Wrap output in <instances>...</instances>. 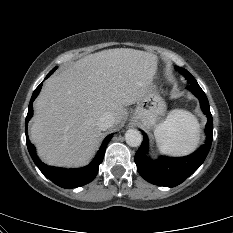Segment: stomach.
Masks as SVG:
<instances>
[{"label": "stomach", "instance_id": "stomach-1", "mask_svg": "<svg viewBox=\"0 0 233 233\" xmlns=\"http://www.w3.org/2000/svg\"><path fill=\"white\" fill-rule=\"evenodd\" d=\"M166 111V103L160 96L155 85H151L146 95L137 102L132 120L152 129Z\"/></svg>", "mask_w": 233, "mask_h": 233}]
</instances>
